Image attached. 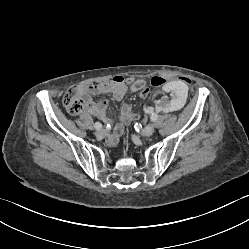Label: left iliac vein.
<instances>
[{
    "label": "left iliac vein",
    "mask_w": 249,
    "mask_h": 249,
    "mask_svg": "<svg viewBox=\"0 0 249 249\" xmlns=\"http://www.w3.org/2000/svg\"><path fill=\"white\" fill-rule=\"evenodd\" d=\"M154 133V125L148 124L146 127H144L141 131L142 136H151Z\"/></svg>",
    "instance_id": "4c4485c4"
}]
</instances>
